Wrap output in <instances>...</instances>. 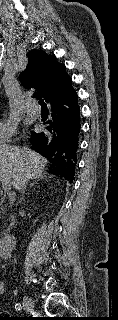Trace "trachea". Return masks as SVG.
<instances>
[{"mask_svg":"<svg viewBox=\"0 0 118 320\" xmlns=\"http://www.w3.org/2000/svg\"><path fill=\"white\" fill-rule=\"evenodd\" d=\"M39 104L41 105V107H46L47 108V105H46V103L44 102V100L43 99H39Z\"/></svg>","mask_w":118,"mask_h":320,"instance_id":"trachea-1","label":"trachea"}]
</instances>
